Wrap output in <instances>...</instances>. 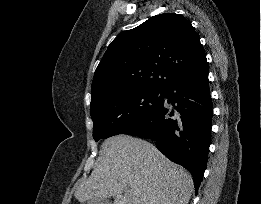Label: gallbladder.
Segmentation results:
<instances>
[{
	"instance_id": "bac80fb5",
	"label": "gallbladder",
	"mask_w": 261,
	"mask_h": 204,
	"mask_svg": "<svg viewBox=\"0 0 261 204\" xmlns=\"http://www.w3.org/2000/svg\"><path fill=\"white\" fill-rule=\"evenodd\" d=\"M87 204H111L108 199H91Z\"/></svg>"
}]
</instances>
